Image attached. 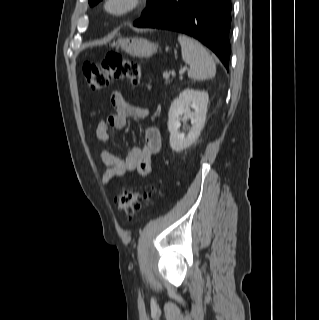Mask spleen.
I'll return each mask as SVG.
<instances>
[{"label":"spleen","mask_w":319,"mask_h":320,"mask_svg":"<svg viewBox=\"0 0 319 320\" xmlns=\"http://www.w3.org/2000/svg\"><path fill=\"white\" fill-rule=\"evenodd\" d=\"M182 59L190 65L188 76L196 80L209 79L215 76L216 66L207 50L195 39L180 34Z\"/></svg>","instance_id":"3e777b00"}]
</instances>
